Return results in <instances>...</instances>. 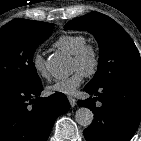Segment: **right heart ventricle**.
Instances as JSON below:
<instances>
[{
  "instance_id": "right-heart-ventricle-1",
  "label": "right heart ventricle",
  "mask_w": 141,
  "mask_h": 141,
  "mask_svg": "<svg viewBox=\"0 0 141 141\" xmlns=\"http://www.w3.org/2000/svg\"><path fill=\"white\" fill-rule=\"evenodd\" d=\"M86 43L83 35H62L57 39L54 46L68 54H75L77 50Z\"/></svg>"
}]
</instances>
